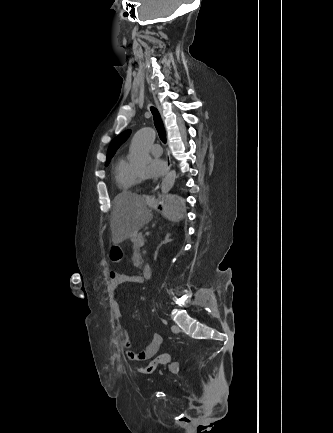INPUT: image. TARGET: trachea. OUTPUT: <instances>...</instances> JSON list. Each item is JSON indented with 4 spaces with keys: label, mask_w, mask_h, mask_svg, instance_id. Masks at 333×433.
<instances>
[{
    "label": "trachea",
    "mask_w": 333,
    "mask_h": 433,
    "mask_svg": "<svg viewBox=\"0 0 333 433\" xmlns=\"http://www.w3.org/2000/svg\"><path fill=\"white\" fill-rule=\"evenodd\" d=\"M150 110L152 112L153 119H154V125H155L156 130L159 134V137L162 140V142L165 144L166 143V131H165V127H164L163 121L161 119V116L155 107L152 106L150 108Z\"/></svg>",
    "instance_id": "1"
}]
</instances>
